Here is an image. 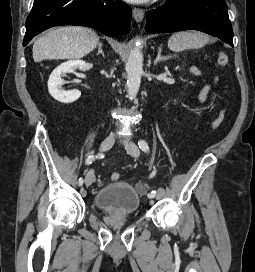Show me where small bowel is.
Instances as JSON below:
<instances>
[{
    "mask_svg": "<svg viewBox=\"0 0 255 272\" xmlns=\"http://www.w3.org/2000/svg\"><path fill=\"white\" fill-rule=\"evenodd\" d=\"M190 71L195 76L201 75V72L195 67L191 68ZM216 83H217V77H215L211 83H204V85L202 86V88L200 89L197 95V99L199 102H203L207 98L209 92L211 91L212 87L216 85Z\"/></svg>",
    "mask_w": 255,
    "mask_h": 272,
    "instance_id": "1",
    "label": "small bowel"
}]
</instances>
